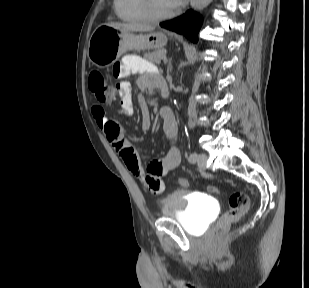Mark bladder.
<instances>
[{
	"mask_svg": "<svg viewBox=\"0 0 309 288\" xmlns=\"http://www.w3.org/2000/svg\"><path fill=\"white\" fill-rule=\"evenodd\" d=\"M217 205L209 196L195 195L183 190L168 194L161 201V214L175 218L189 231L200 233L212 221Z\"/></svg>",
	"mask_w": 309,
	"mask_h": 288,
	"instance_id": "1",
	"label": "bladder"
}]
</instances>
